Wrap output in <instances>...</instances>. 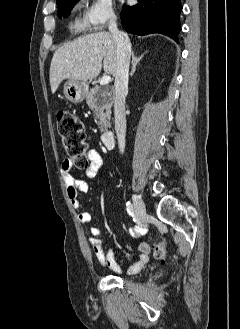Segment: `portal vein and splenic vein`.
Here are the masks:
<instances>
[{"mask_svg": "<svg viewBox=\"0 0 240 329\" xmlns=\"http://www.w3.org/2000/svg\"><path fill=\"white\" fill-rule=\"evenodd\" d=\"M110 81H111V77L109 75H105L100 80V85H102V86L107 85V84H109Z\"/></svg>", "mask_w": 240, "mask_h": 329, "instance_id": "obj_1", "label": "portal vein and splenic vein"}]
</instances>
